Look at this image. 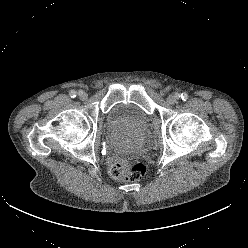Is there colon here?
<instances>
[{
    "mask_svg": "<svg viewBox=\"0 0 248 248\" xmlns=\"http://www.w3.org/2000/svg\"><path fill=\"white\" fill-rule=\"evenodd\" d=\"M146 172V164L137 159H121L110 167L111 176L119 181H136L141 179Z\"/></svg>",
    "mask_w": 248,
    "mask_h": 248,
    "instance_id": "5ec220e1",
    "label": "colon"
}]
</instances>
